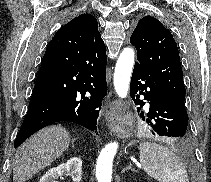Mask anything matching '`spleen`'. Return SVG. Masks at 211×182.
Returning <instances> with one entry per match:
<instances>
[{
  "mask_svg": "<svg viewBox=\"0 0 211 182\" xmlns=\"http://www.w3.org/2000/svg\"><path fill=\"white\" fill-rule=\"evenodd\" d=\"M140 163L144 171L158 182H189L180 158L163 145L141 143Z\"/></svg>",
  "mask_w": 211,
  "mask_h": 182,
  "instance_id": "spleen-1",
  "label": "spleen"
}]
</instances>
